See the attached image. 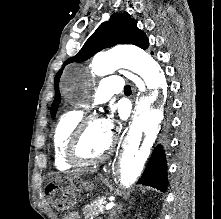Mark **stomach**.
Wrapping results in <instances>:
<instances>
[{
  "mask_svg": "<svg viewBox=\"0 0 221 219\" xmlns=\"http://www.w3.org/2000/svg\"><path fill=\"white\" fill-rule=\"evenodd\" d=\"M74 181H75V182H77L78 180H77V179H75ZM84 188L88 190V189H90V188H91V186L84 184Z\"/></svg>",
  "mask_w": 221,
  "mask_h": 219,
  "instance_id": "0dacf381",
  "label": "stomach"
}]
</instances>
